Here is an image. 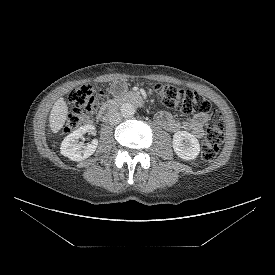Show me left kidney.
Listing matches in <instances>:
<instances>
[{
    "instance_id": "1",
    "label": "left kidney",
    "mask_w": 275,
    "mask_h": 275,
    "mask_svg": "<svg viewBox=\"0 0 275 275\" xmlns=\"http://www.w3.org/2000/svg\"><path fill=\"white\" fill-rule=\"evenodd\" d=\"M173 149L180 158L192 160L198 156L200 144L191 133L178 131L173 135Z\"/></svg>"
}]
</instances>
